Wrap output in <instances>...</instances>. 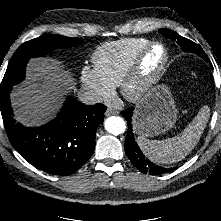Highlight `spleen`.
Returning <instances> with one entry per match:
<instances>
[{
    "instance_id": "3e777b00",
    "label": "spleen",
    "mask_w": 221,
    "mask_h": 221,
    "mask_svg": "<svg viewBox=\"0 0 221 221\" xmlns=\"http://www.w3.org/2000/svg\"><path fill=\"white\" fill-rule=\"evenodd\" d=\"M209 119V108L204 106L182 133L165 140H150L139 136L137 143L154 163L171 164L184 159L198 144Z\"/></svg>"
}]
</instances>
